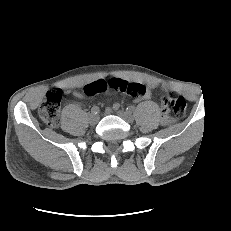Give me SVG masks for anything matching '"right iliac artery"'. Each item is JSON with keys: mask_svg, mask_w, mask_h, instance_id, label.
I'll return each instance as SVG.
<instances>
[{"mask_svg": "<svg viewBox=\"0 0 231 231\" xmlns=\"http://www.w3.org/2000/svg\"><path fill=\"white\" fill-rule=\"evenodd\" d=\"M91 113L98 114L99 113V107L93 106L92 109H91Z\"/></svg>", "mask_w": 231, "mask_h": 231, "instance_id": "1", "label": "right iliac artery"}]
</instances>
